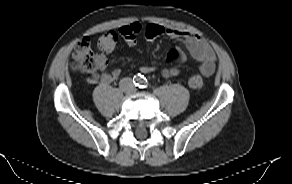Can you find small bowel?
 Segmentation results:
<instances>
[{"label": "small bowel", "instance_id": "small-bowel-1", "mask_svg": "<svg viewBox=\"0 0 292 184\" xmlns=\"http://www.w3.org/2000/svg\"><path fill=\"white\" fill-rule=\"evenodd\" d=\"M162 27L163 34L172 39L182 40L185 48L190 53L192 58L199 63V70L202 75L210 76L215 69V53L210 45L200 36L192 34L185 31H180L171 27ZM143 26L140 22H132L130 24L124 25L119 28V34L124 38L125 42L129 46H134L137 42V36L143 31ZM181 61L184 57L181 55ZM108 58L101 52L96 55V67L95 70L99 71L92 73L90 77V82L97 83L102 82L105 84L112 83L116 81L121 70L116 68L112 71L107 70ZM157 68L155 66H142L140 67V72L143 74L155 71ZM180 72L178 67L164 68L161 70V74L164 77H173L178 75Z\"/></svg>", "mask_w": 292, "mask_h": 184}]
</instances>
